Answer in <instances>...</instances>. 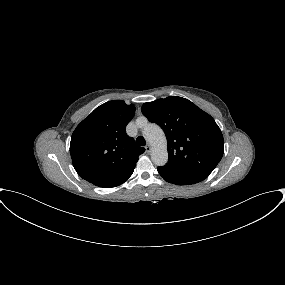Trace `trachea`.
Segmentation results:
<instances>
[{"mask_svg":"<svg viewBox=\"0 0 285 285\" xmlns=\"http://www.w3.org/2000/svg\"><path fill=\"white\" fill-rule=\"evenodd\" d=\"M136 144L138 146H145L146 145V141L142 136L137 137L136 139Z\"/></svg>","mask_w":285,"mask_h":285,"instance_id":"1","label":"trachea"}]
</instances>
